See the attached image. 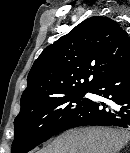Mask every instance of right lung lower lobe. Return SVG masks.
<instances>
[{"mask_svg":"<svg viewBox=\"0 0 130 153\" xmlns=\"http://www.w3.org/2000/svg\"><path fill=\"white\" fill-rule=\"evenodd\" d=\"M91 93L107 101L90 100L63 130L86 125L130 128V61L102 77Z\"/></svg>","mask_w":130,"mask_h":153,"instance_id":"obj_1","label":"right lung lower lobe"}]
</instances>
